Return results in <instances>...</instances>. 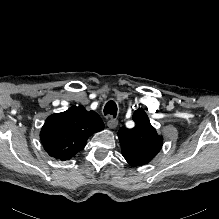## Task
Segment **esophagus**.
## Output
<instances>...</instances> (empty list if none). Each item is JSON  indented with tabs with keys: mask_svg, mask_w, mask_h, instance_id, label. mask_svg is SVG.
<instances>
[{
	"mask_svg": "<svg viewBox=\"0 0 219 219\" xmlns=\"http://www.w3.org/2000/svg\"><path fill=\"white\" fill-rule=\"evenodd\" d=\"M118 125V121L116 119H114L112 116H109L108 120H107V126L110 129H115Z\"/></svg>",
	"mask_w": 219,
	"mask_h": 219,
	"instance_id": "1",
	"label": "esophagus"
}]
</instances>
